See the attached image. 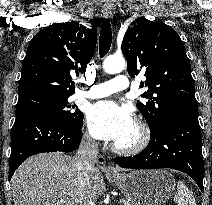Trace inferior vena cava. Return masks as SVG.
Here are the masks:
<instances>
[{"label":"inferior vena cava","mask_w":212,"mask_h":205,"mask_svg":"<svg viewBox=\"0 0 212 205\" xmlns=\"http://www.w3.org/2000/svg\"><path fill=\"white\" fill-rule=\"evenodd\" d=\"M97 154L98 143L89 136H85L74 157L77 179L81 189L90 188ZM83 205H95V199L88 196Z\"/></svg>","instance_id":"inferior-vena-cava-1"}]
</instances>
